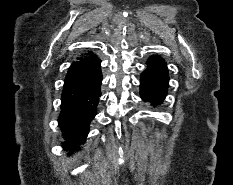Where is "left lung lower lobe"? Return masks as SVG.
Listing matches in <instances>:
<instances>
[{"label": "left lung lower lobe", "instance_id": "0a47b994", "mask_svg": "<svg viewBox=\"0 0 233 185\" xmlns=\"http://www.w3.org/2000/svg\"><path fill=\"white\" fill-rule=\"evenodd\" d=\"M147 69L141 74L140 95L144 101L160 104L167 95L168 70L161 57L152 56L147 61Z\"/></svg>", "mask_w": 233, "mask_h": 185}]
</instances>
